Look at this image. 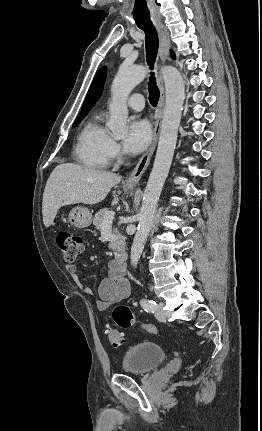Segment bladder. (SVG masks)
Listing matches in <instances>:
<instances>
[{"label":"bladder","mask_w":262,"mask_h":431,"mask_svg":"<svg viewBox=\"0 0 262 431\" xmlns=\"http://www.w3.org/2000/svg\"><path fill=\"white\" fill-rule=\"evenodd\" d=\"M165 350L155 342L141 339L129 346L122 358V369L128 374H147L166 360Z\"/></svg>","instance_id":"bladder-1"}]
</instances>
